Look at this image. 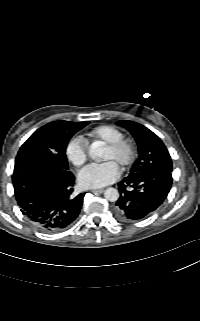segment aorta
Masks as SVG:
<instances>
[{"mask_svg": "<svg viewBox=\"0 0 200 321\" xmlns=\"http://www.w3.org/2000/svg\"><path fill=\"white\" fill-rule=\"evenodd\" d=\"M102 154L103 150L100 147L99 143H92L89 148V156L95 161H100L102 158ZM104 196L108 201L115 202L119 198V193L117 189L110 187L105 190Z\"/></svg>", "mask_w": 200, "mask_h": 321, "instance_id": "1", "label": "aorta"}]
</instances>
